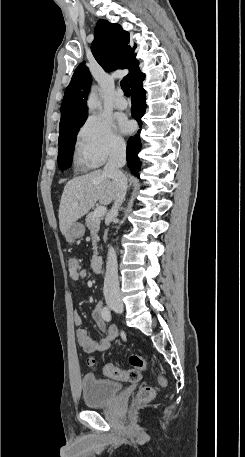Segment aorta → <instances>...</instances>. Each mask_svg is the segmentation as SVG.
<instances>
[{"mask_svg":"<svg viewBox=\"0 0 245 457\" xmlns=\"http://www.w3.org/2000/svg\"><path fill=\"white\" fill-rule=\"evenodd\" d=\"M87 106L89 108V111H93L101 106V102L98 98L95 88L91 89V92L87 100Z\"/></svg>","mask_w":245,"mask_h":457,"instance_id":"762f6f07","label":"aorta"}]
</instances>
